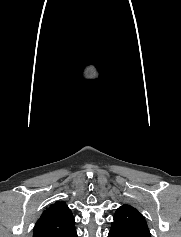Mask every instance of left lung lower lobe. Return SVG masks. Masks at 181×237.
I'll use <instances>...</instances> for the list:
<instances>
[{
	"instance_id": "1",
	"label": "left lung lower lobe",
	"mask_w": 181,
	"mask_h": 237,
	"mask_svg": "<svg viewBox=\"0 0 181 237\" xmlns=\"http://www.w3.org/2000/svg\"><path fill=\"white\" fill-rule=\"evenodd\" d=\"M108 237H138V236L122 235V234H117L114 232H109Z\"/></svg>"
}]
</instances>
